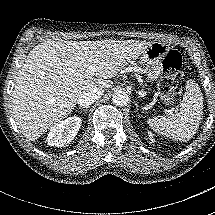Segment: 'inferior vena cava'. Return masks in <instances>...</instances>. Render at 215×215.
Wrapping results in <instances>:
<instances>
[{
  "mask_svg": "<svg viewBox=\"0 0 215 215\" xmlns=\"http://www.w3.org/2000/svg\"><path fill=\"white\" fill-rule=\"evenodd\" d=\"M104 90L97 91V92H85L82 93L78 99L77 103L82 107H87L94 103L96 100L100 99L103 95Z\"/></svg>",
  "mask_w": 215,
  "mask_h": 215,
  "instance_id": "inferior-vena-cava-1",
  "label": "inferior vena cava"
}]
</instances>
